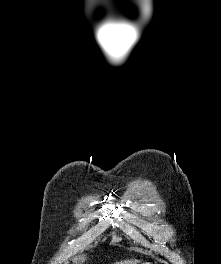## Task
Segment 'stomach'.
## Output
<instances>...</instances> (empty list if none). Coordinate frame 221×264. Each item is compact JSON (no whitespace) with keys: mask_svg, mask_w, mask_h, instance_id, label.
<instances>
[{"mask_svg":"<svg viewBox=\"0 0 221 264\" xmlns=\"http://www.w3.org/2000/svg\"><path fill=\"white\" fill-rule=\"evenodd\" d=\"M141 264H152V263H150V262H142Z\"/></svg>","mask_w":221,"mask_h":264,"instance_id":"1","label":"stomach"}]
</instances>
